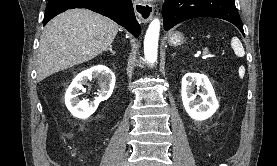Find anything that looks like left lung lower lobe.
I'll return each mask as SVG.
<instances>
[{
    "label": "left lung lower lobe",
    "instance_id": "obj_1",
    "mask_svg": "<svg viewBox=\"0 0 277 166\" xmlns=\"http://www.w3.org/2000/svg\"><path fill=\"white\" fill-rule=\"evenodd\" d=\"M162 15L166 31L189 19L213 17L231 22L245 36L235 0H165Z\"/></svg>",
    "mask_w": 277,
    "mask_h": 166
}]
</instances>
